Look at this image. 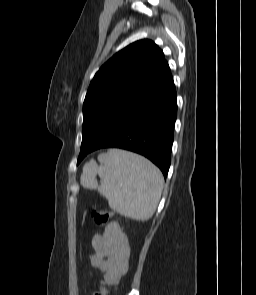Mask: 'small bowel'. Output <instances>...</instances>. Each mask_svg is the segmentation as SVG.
<instances>
[{
  "instance_id": "c3829d8e",
  "label": "small bowel",
  "mask_w": 256,
  "mask_h": 295,
  "mask_svg": "<svg viewBox=\"0 0 256 295\" xmlns=\"http://www.w3.org/2000/svg\"><path fill=\"white\" fill-rule=\"evenodd\" d=\"M91 244L95 251L90 257L92 267L105 271L107 280L116 283L126 272L130 256L128 239L119 223H109L102 234L92 238Z\"/></svg>"
}]
</instances>
